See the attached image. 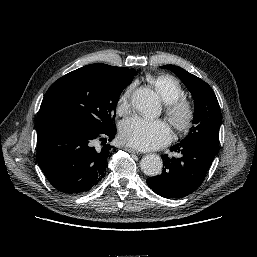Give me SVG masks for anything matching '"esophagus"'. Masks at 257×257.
<instances>
[{
	"mask_svg": "<svg viewBox=\"0 0 257 257\" xmlns=\"http://www.w3.org/2000/svg\"><path fill=\"white\" fill-rule=\"evenodd\" d=\"M125 150L130 152V153H138L137 150L133 149V148H130V147H125Z\"/></svg>",
	"mask_w": 257,
	"mask_h": 257,
	"instance_id": "esophagus-1",
	"label": "esophagus"
}]
</instances>
